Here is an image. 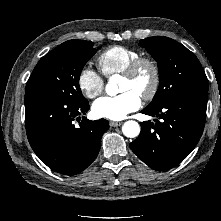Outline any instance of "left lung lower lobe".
<instances>
[{
	"mask_svg": "<svg viewBox=\"0 0 221 221\" xmlns=\"http://www.w3.org/2000/svg\"><path fill=\"white\" fill-rule=\"evenodd\" d=\"M208 92L189 91L142 113L161 122L144 121L130 143L132 151L149 167L165 171L181 163L195 148L204 129Z\"/></svg>",
	"mask_w": 221,
	"mask_h": 221,
	"instance_id": "0a47b994",
	"label": "left lung lower lobe"
}]
</instances>
